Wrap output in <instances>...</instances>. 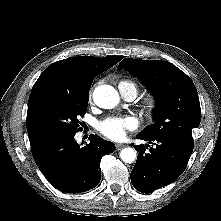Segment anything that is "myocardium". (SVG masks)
Instances as JSON below:
<instances>
[{
    "mask_svg": "<svg viewBox=\"0 0 221 221\" xmlns=\"http://www.w3.org/2000/svg\"><path fill=\"white\" fill-rule=\"evenodd\" d=\"M143 108L148 116H152L158 108L156 97L153 95L147 96L143 101Z\"/></svg>",
    "mask_w": 221,
    "mask_h": 221,
    "instance_id": "obj_1",
    "label": "myocardium"
}]
</instances>
